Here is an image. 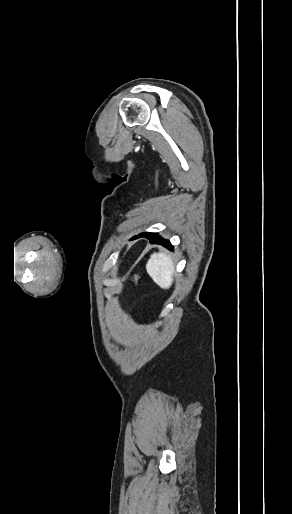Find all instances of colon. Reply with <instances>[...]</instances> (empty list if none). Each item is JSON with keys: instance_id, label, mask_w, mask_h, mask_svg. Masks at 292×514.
Returning a JSON list of instances; mask_svg holds the SVG:
<instances>
[{"instance_id": "obj_1", "label": "colon", "mask_w": 292, "mask_h": 514, "mask_svg": "<svg viewBox=\"0 0 292 514\" xmlns=\"http://www.w3.org/2000/svg\"><path fill=\"white\" fill-rule=\"evenodd\" d=\"M131 282H132L133 284H136V283L138 282V276H137V275H132V276H131Z\"/></svg>"}]
</instances>
